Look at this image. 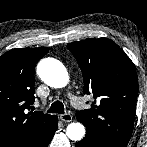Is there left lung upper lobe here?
Masks as SVG:
<instances>
[{"label": "left lung upper lobe", "mask_w": 147, "mask_h": 147, "mask_svg": "<svg viewBox=\"0 0 147 147\" xmlns=\"http://www.w3.org/2000/svg\"><path fill=\"white\" fill-rule=\"evenodd\" d=\"M67 48L83 74L84 94L95 101L77 120L110 147H126L134 125L138 78L131 59L107 38L75 41Z\"/></svg>", "instance_id": "1"}]
</instances>
